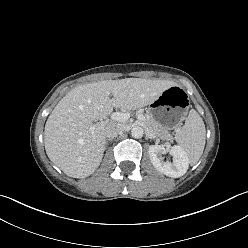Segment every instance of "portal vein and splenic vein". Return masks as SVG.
<instances>
[{
	"label": "portal vein and splenic vein",
	"instance_id": "obj_1",
	"mask_svg": "<svg viewBox=\"0 0 248 248\" xmlns=\"http://www.w3.org/2000/svg\"><path fill=\"white\" fill-rule=\"evenodd\" d=\"M130 118V113L127 112H114L111 114V119L119 122L127 121ZM138 120H143V115H137ZM95 125L91 127V133L94 134Z\"/></svg>",
	"mask_w": 248,
	"mask_h": 248
}]
</instances>
